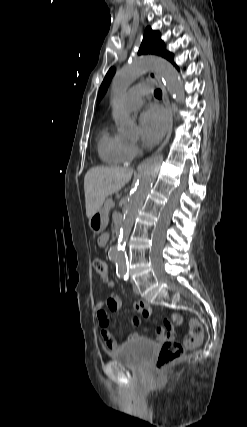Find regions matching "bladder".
I'll return each mask as SVG.
<instances>
[{
    "label": "bladder",
    "instance_id": "bladder-1",
    "mask_svg": "<svg viewBox=\"0 0 247 427\" xmlns=\"http://www.w3.org/2000/svg\"><path fill=\"white\" fill-rule=\"evenodd\" d=\"M155 349L156 345L152 341L138 339L114 351L111 358L130 369L142 370L147 366Z\"/></svg>",
    "mask_w": 247,
    "mask_h": 427
}]
</instances>
